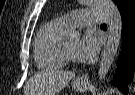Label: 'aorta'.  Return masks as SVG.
<instances>
[{
	"label": "aorta",
	"instance_id": "aorta-1",
	"mask_svg": "<svg viewBox=\"0 0 135 95\" xmlns=\"http://www.w3.org/2000/svg\"><path fill=\"white\" fill-rule=\"evenodd\" d=\"M87 4L92 5L102 10L107 19L108 39L104 51L101 56V61L98 70V79L103 82L108 71L110 70L116 53L118 51L121 36H122V19L121 14L112 0H86ZM69 36L74 39L79 37V33L71 31Z\"/></svg>",
	"mask_w": 135,
	"mask_h": 95
}]
</instances>
